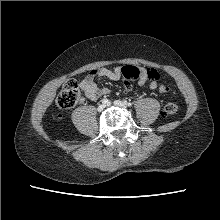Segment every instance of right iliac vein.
Instances as JSON below:
<instances>
[{"mask_svg":"<svg viewBox=\"0 0 220 220\" xmlns=\"http://www.w3.org/2000/svg\"><path fill=\"white\" fill-rule=\"evenodd\" d=\"M105 107H106V106H105L104 104H100V105L97 107V110H98L99 112H101V111L104 110Z\"/></svg>","mask_w":220,"mask_h":220,"instance_id":"obj_1","label":"right iliac vein"}]
</instances>
